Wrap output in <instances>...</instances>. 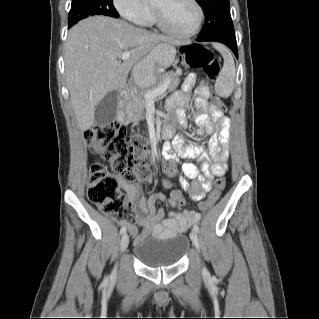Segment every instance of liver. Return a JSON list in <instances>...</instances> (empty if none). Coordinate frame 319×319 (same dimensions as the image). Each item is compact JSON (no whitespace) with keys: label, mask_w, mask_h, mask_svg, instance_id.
<instances>
[{"label":"liver","mask_w":319,"mask_h":319,"mask_svg":"<svg viewBox=\"0 0 319 319\" xmlns=\"http://www.w3.org/2000/svg\"><path fill=\"white\" fill-rule=\"evenodd\" d=\"M161 42L171 38L136 28L122 20L93 16L68 32L65 43V76L78 127L88 130L95 122V107L111 91L126 87L129 71L152 58ZM131 56L122 63V52Z\"/></svg>","instance_id":"liver-1"}]
</instances>
